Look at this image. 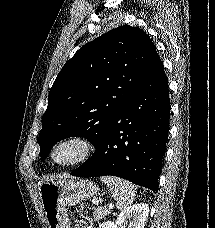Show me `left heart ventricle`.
Returning a JSON list of instances; mask_svg holds the SVG:
<instances>
[{
    "instance_id": "1",
    "label": "left heart ventricle",
    "mask_w": 215,
    "mask_h": 228,
    "mask_svg": "<svg viewBox=\"0 0 215 228\" xmlns=\"http://www.w3.org/2000/svg\"><path fill=\"white\" fill-rule=\"evenodd\" d=\"M69 155H70V151L65 149L58 153L57 158H60V159L67 158Z\"/></svg>"
}]
</instances>
